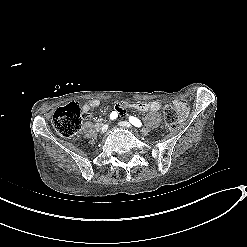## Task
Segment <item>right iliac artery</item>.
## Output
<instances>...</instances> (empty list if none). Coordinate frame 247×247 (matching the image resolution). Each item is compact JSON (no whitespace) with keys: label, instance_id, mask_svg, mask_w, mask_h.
<instances>
[{"label":"right iliac artery","instance_id":"1","mask_svg":"<svg viewBox=\"0 0 247 247\" xmlns=\"http://www.w3.org/2000/svg\"><path fill=\"white\" fill-rule=\"evenodd\" d=\"M118 117V113L116 111H112V113L110 114V118L112 120H115Z\"/></svg>","mask_w":247,"mask_h":247}]
</instances>
